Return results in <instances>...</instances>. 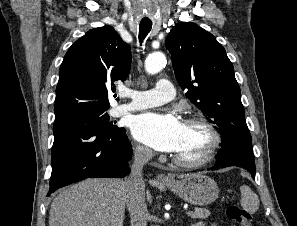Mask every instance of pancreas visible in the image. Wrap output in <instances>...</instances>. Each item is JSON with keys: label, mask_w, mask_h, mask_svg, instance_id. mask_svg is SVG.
Instances as JSON below:
<instances>
[{"label": "pancreas", "mask_w": 297, "mask_h": 226, "mask_svg": "<svg viewBox=\"0 0 297 226\" xmlns=\"http://www.w3.org/2000/svg\"><path fill=\"white\" fill-rule=\"evenodd\" d=\"M210 212L207 209L195 208L194 212L190 215L193 219H205L209 216Z\"/></svg>", "instance_id": "pancreas-1"}]
</instances>
